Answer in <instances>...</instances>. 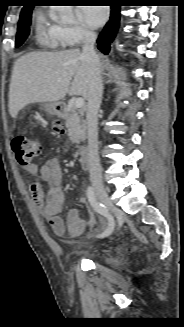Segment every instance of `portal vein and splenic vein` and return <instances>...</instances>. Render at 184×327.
I'll use <instances>...</instances> for the list:
<instances>
[{"instance_id":"18ae733b","label":"portal vein and splenic vein","mask_w":184,"mask_h":327,"mask_svg":"<svg viewBox=\"0 0 184 327\" xmlns=\"http://www.w3.org/2000/svg\"><path fill=\"white\" fill-rule=\"evenodd\" d=\"M84 106V99L83 98H77V99H75V101H74V107L75 108H81V107H83Z\"/></svg>"}]
</instances>
